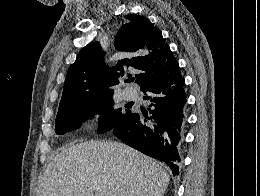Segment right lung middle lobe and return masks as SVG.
Masks as SVG:
<instances>
[{
	"mask_svg": "<svg viewBox=\"0 0 260 196\" xmlns=\"http://www.w3.org/2000/svg\"><path fill=\"white\" fill-rule=\"evenodd\" d=\"M113 92L99 93L82 98L58 111L55 121V132L63 135L78 128L81 123L94 114L99 118V132L105 133L126 121L132 114L130 110L114 108Z\"/></svg>",
	"mask_w": 260,
	"mask_h": 196,
	"instance_id": "1",
	"label": "right lung middle lobe"
}]
</instances>
